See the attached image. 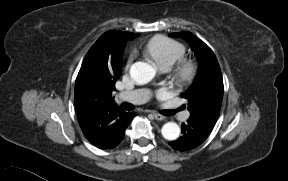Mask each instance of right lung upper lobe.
Segmentation results:
<instances>
[{
  "mask_svg": "<svg viewBox=\"0 0 288 181\" xmlns=\"http://www.w3.org/2000/svg\"><path fill=\"white\" fill-rule=\"evenodd\" d=\"M139 34L107 31L86 54L75 82L78 121L85 137L100 149L113 148L125 111L112 97L121 76L126 42Z\"/></svg>",
  "mask_w": 288,
  "mask_h": 181,
  "instance_id": "1",
  "label": "right lung upper lobe"
}]
</instances>
